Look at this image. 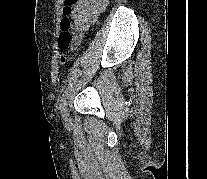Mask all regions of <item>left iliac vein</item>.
Wrapping results in <instances>:
<instances>
[{"label": "left iliac vein", "instance_id": "left-iliac-vein-1", "mask_svg": "<svg viewBox=\"0 0 207 179\" xmlns=\"http://www.w3.org/2000/svg\"><path fill=\"white\" fill-rule=\"evenodd\" d=\"M63 117L65 121H69L70 117H69L67 110L65 111V113H63Z\"/></svg>", "mask_w": 207, "mask_h": 179}]
</instances>
